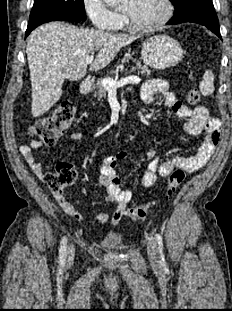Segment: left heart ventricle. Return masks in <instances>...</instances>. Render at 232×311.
Wrapping results in <instances>:
<instances>
[{"mask_svg":"<svg viewBox=\"0 0 232 311\" xmlns=\"http://www.w3.org/2000/svg\"><path fill=\"white\" fill-rule=\"evenodd\" d=\"M122 9L131 15L135 23L142 26L155 24L165 12L163 0H125Z\"/></svg>","mask_w":232,"mask_h":311,"instance_id":"b2bd125f","label":"left heart ventricle"}]
</instances>
